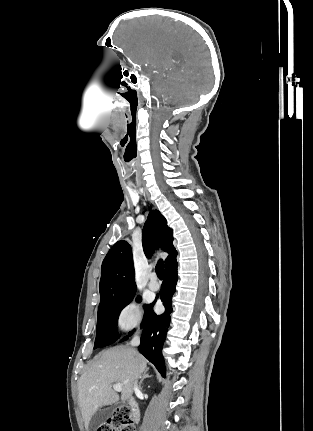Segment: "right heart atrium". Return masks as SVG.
Returning <instances> with one entry per match:
<instances>
[{
    "mask_svg": "<svg viewBox=\"0 0 313 431\" xmlns=\"http://www.w3.org/2000/svg\"><path fill=\"white\" fill-rule=\"evenodd\" d=\"M142 322L143 310L137 301L127 303L118 314V325L123 330L137 328Z\"/></svg>",
    "mask_w": 313,
    "mask_h": 431,
    "instance_id": "d8ad5b80",
    "label": "right heart atrium"
}]
</instances>
